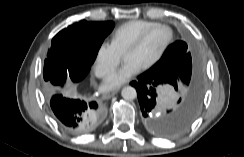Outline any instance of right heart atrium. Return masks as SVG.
I'll return each mask as SVG.
<instances>
[{
    "mask_svg": "<svg viewBox=\"0 0 244 157\" xmlns=\"http://www.w3.org/2000/svg\"><path fill=\"white\" fill-rule=\"evenodd\" d=\"M121 60V53L112 42L103 41L96 52L94 69L100 78H106L118 66Z\"/></svg>",
    "mask_w": 244,
    "mask_h": 157,
    "instance_id": "1",
    "label": "right heart atrium"
}]
</instances>
